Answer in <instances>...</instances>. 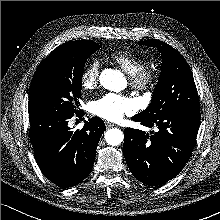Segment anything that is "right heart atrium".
I'll return each mask as SVG.
<instances>
[{
  "label": "right heart atrium",
  "mask_w": 220,
  "mask_h": 220,
  "mask_svg": "<svg viewBox=\"0 0 220 220\" xmlns=\"http://www.w3.org/2000/svg\"><path fill=\"white\" fill-rule=\"evenodd\" d=\"M100 63L98 60L90 61L83 69L80 77V83L83 90L94 89L99 80Z\"/></svg>",
  "instance_id": "right-heart-atrium-1"
}]
</instances>
